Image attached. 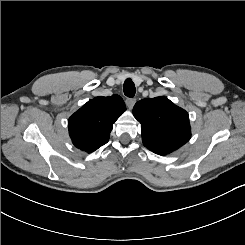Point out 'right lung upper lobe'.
I'll list each match as a JSON object with an SVG mask.
<instances>
[{
    "mask_svg": "<svg viewBox=\"0 0 245 245\" xmlns=\"http://www.w3.org/2000/svg\"><path fill=\"white\" fill-rule=\"evenodd\" d=\"M125 110V103L117 94L89 100L68 120L75 147L91 153L106 144L113 124Z\"/></svg>",
    "mask_w": 245,
    "mask_h": 245,
    "instance_id": "1",
    "label": "right lung upper lobe"
}]
</instances>
